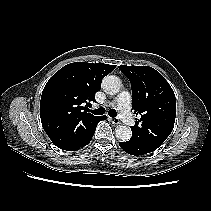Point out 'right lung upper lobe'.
<instances>
[{
  "label": "right lung upper lobe",
  "instance_id": "1",
  "mask_svg": "<svg viewBox=\"0 0 211 211\" xmlns=\"http://www.w3.org/2000/svg\"><path fill=\"white\" fill-rule=\"evenodd\" d=\"M115 65L74 62L57 71L45 85L40 101L42 126L55 146L69 149L100 116L87 113L101 80Z\"/></svg>",
  "mask_w": 211,
  "mask_h": 211
}]
</instances>
